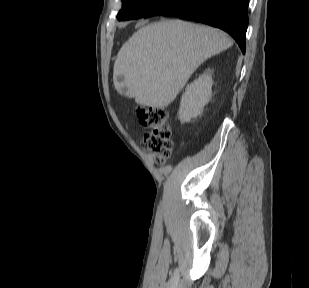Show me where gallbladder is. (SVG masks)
<instances>
[{"mask_svg": "<svg viewBox=\"0 0 309 288\" xmlns=\"http://www.w3.org/2000/svg\"><path fill=\"white\" fill-rule=\"evenodd\" d=\"M127 91H128V88H127L125 85H123V86L121 87V92H122V94H126Z\"/></svg>", "mask_w": 309, "mask_h": 288, "instance_id": "gallbladder-1", "label": "gallbladder"}]
</instances>
